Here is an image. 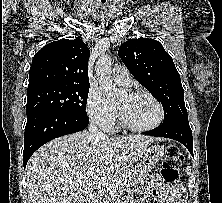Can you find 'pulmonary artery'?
<instances>
[{
  "mask_svg": "<svg viewBox=\"0 0 222 203\" xmlns=\"http://www.w3.org/2000/svg\"><path fill=\"white\" fill-rule=\"evenodd\" d=\"M112 77L114 82L119 86L128 87L130 85L129 72L123 66L114 67Z\"/></svg>",
  "mask_w": 222,
  "mask_h": 203,
  "instance_id": "obj_1",
  "label": "pulmonary artery"
}]
</instances>
